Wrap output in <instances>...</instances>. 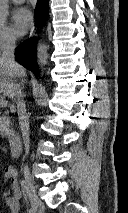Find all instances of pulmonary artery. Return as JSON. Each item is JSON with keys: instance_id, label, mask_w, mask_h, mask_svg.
<instances>
[{"instance_id": "e3ab8cb5", "label": "pulmonary artery", "mask_w": 128, "mask_h": 213, "mask_svg": "<svg viewBox=\"0 0 128 213\" xmlns=\"http://www.w3.org/2000/svg\"><path fill=\"white\" fill-rule=\"evenodd\" d=\"M14 3H23L25 0H12Z\"/></svg>"}]
</instances>
